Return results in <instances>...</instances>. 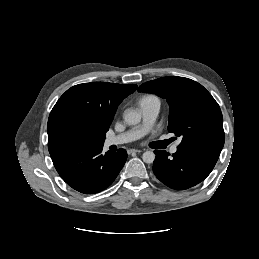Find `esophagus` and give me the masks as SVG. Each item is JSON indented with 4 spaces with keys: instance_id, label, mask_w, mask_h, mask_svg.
Listing matches in <instances>:
<instances>
[{
    "instance_id": "esophagus-1",
    "label": "esophagus",
    "mask_w": 259,
    "mask_h": 259,
    "mask_svg": "<svg viewBox=\"0 0 259 259\" xmlns=\"http://www.w3.org/2000/svg\"><path fill=\"white\" fill-rule=\"evenodd\" d=\"M140 152H142V151L139 149H129L128 150V154H134V153H140Z\"/></svg>"
}]
</instances>
